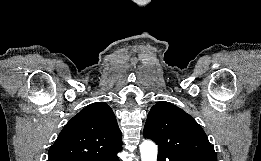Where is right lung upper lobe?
I'll use <instances>...</instances> for the list:
<instances>
[{
	"instance_id": "obj_1",
	"label": "right lung upper lobe",
	"mask_w": 261,
	"mask_h": 161,
	"mask_svg": "<svg viewBox=\"0 0 261 161\" xmlns=\"http://www.w3.org/2000/svg\"><path fill=\"white\" fill-rule=\"evenodd\" d=\"M122 134L112 109L93 103L63 128L48 152V161H78L121 150Z\"/></svg>"
}]
</instances>
